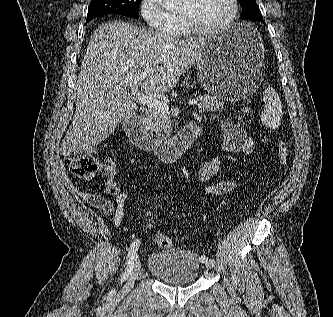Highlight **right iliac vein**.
Returning <instances> with one entry per match:
<instances>
[{
	"instance_id": "1",
	"label": "right iliac vein",
	"mask_w": 333,
	"mask_h": 317,
	"mask_svg": "<svg viewBox=\"0 0 333 317\" xmlns=\"http://www.w3.org/2000/svg\"><path fill=\"white\" fill-rule=\"evenodd\" d=\"M140 269H141V261L139 260L138 257H136L135 263H134L132 271L130 273V277L127 280L125 286L122 288L120 294L118 295L119 298L125 296L133 288L135 281L138 278Z\"/></svg>"
}]
</instances>
